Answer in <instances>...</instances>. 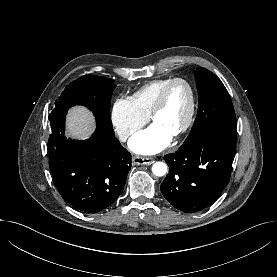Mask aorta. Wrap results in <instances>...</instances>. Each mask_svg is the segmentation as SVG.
Wrapping results in <instances>:
<instances>
[{"label":"aorta","mask_w":277,"mask_h":277,"mask_svg":"<svg viewBox=\"0 0 277 277\" xmlns=\"http://www.w3.org/2000/svg\"><path fill=\"white\" fill-rule=\"evenodd\" d=\"M152 172L156 176H164L167 172V165L164 162H156L152 166Z\"/></svg>","instance_id":"762f6f07"}]
</instances>
